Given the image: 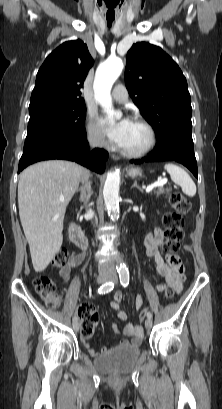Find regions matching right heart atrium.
<instances>
[{
  "instance_id": "1",
  "label": "right heart atrium",
  "mask_w": 222,
  "mask_h": 409,
  "mask_svg": "<svg viewBox=\"0 0 222 409\" xmlns=\"http://www.w3.org/2000/svg\"><path fill=\"white\" fill-rule=\"evenodd\" d=\"M86 134L89 143L98 148H108L109 143L104 135V132L96 123L94 116L91 114L88 117L86 125Z\"/></svg>"
}]
</instances>
